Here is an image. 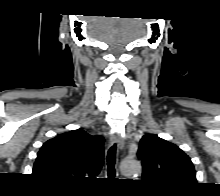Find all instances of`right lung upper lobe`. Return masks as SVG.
I'll use <instances>...</instances> for the list:
<instances>
[{
    "mask_svg": "<svg viewBox=\"0 0 220 196\" xmlns=\"http://www.w3.org/2000/svg\"><path fill=\"white\" fill-rule=\"evenodd\" d=\"M103 143V137L91 136L82 129L60 134L43 144L32 174L52 185L76 187L85 177L99 174Z\"/></svg>",
    "mask_w": 220,
    "mask_h": 196,
    "instance_id": "cb5924a9",
    "label": "right lung upper lobe"
}]
</instances>
